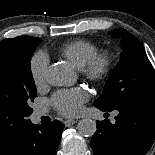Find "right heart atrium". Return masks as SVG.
Returning a JSON list of instances; mask_svg holds the SVG:
<instances>
[{
  "label": "right heart atrium",
  "mask_w": 155,
  "mask_h": 155,
  "mask_svg": "<svg viewBox=\"0 0 155 155\" xmlns=\"http://www.w3.org/2000/svg\"><path fill=\"white\" fill-rule=\"evenodd\" d=\"M48 57L43 52L36 53L30 61V74L36 86H41L46 80Z\"/></svg>",
  "instance_id": "obj_1"
}]
</instances>
